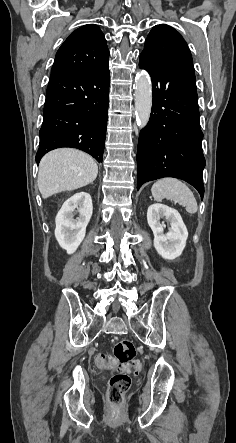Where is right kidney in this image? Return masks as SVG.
Returning a JSON list of instances; mask_svg holds the SVG:
<instances>
[{
  "instance_id": "right-kidney-1",
  "label": "right kidney",
  "mask_w": 236,
  "mask_h": 443,
  "mask_svg": "<svg viewBox=\"0 0 236 443\" xmlns=\"http://www.w3.org/2000/svg\"><path fill=\"white\" fill-rule=\"evenodd\" d=\"M92 211V199L86 192L74 194L59 210L55 219V237L68 254L74 253L83 241ZM76 214L78 217L74 218Z\"/></svg>"
}]
</instances>
